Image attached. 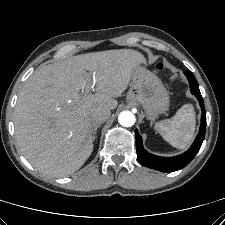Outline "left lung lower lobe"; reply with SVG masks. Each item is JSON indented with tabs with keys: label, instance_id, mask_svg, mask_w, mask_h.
I'll return each mask as SVG.
<instances>
[{
	"label": "left lung lower lobe",
	"instance_id": "left-lung-lower-lobe-1",
	"mask_svg": "<svg viewBox=\"0 0 225 225\" xmlns=\"http://www.w3.org/2000/svg\"><path fill=\"white\" fill-rule=\"evenodd\" d=\"M185 75L187 76L189 83H190V89L192 94H194L202 107V118H201V126H200V131L195 139L193 145L191 148L186 151L184 154L176 156V157H171V158H165V157H158L155 155H152L148 153L146 150H144L142 146V138L139 135L138 131H135L136 134V151H137V158L138 161L146 166L150 167L162 172H171V171H177L182 168H184L188 163L191 162V160L194 158V156L197 154L199 151L202 142L204 140L205 136V130H206V111L204 108V102L203 98L201 96L200 90L198 83L195 79V77L192 75L191 72L185 71Z\"/></svg>",
	"mask_w": 225,
	"mask_h": 225
}]
</instances>
